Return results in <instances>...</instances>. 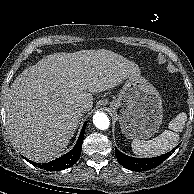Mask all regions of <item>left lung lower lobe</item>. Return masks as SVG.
I'll list each match as a JSON object with an SVG mask.
<instances>
[{"label":"left lung lower lobe","mask_w":194,"mask_h":194,"mask_svg":"<svg viewBox=\"0 0 194 194\" xmlns=\"http://www.w3.org/2000/svg\"><path fill=\"white\" fill-rule=\"evenodd\" d=\"M174 151L175 149L171 150V152H168L166 154H163L161 156L154 157V158L138 159V158L127 156L122 152H120L117 148H115V154L118 162L125 168L132 171H145V170L153 169L156 166L160 165Z\"/></svg>","instance_id":"left-lung-lower-lobe-1"}]
</instances>
